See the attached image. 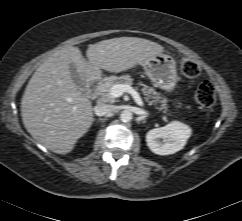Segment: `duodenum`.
Masks as SVG:
<instances>
[{
	"label": "duodenum",
	"mask_w": 242,
	"mask_h": 221,
	"mask_svg": "<svg viewBox=\"0 0 242 221\" xmlns=\"http://www.w3.org/2000/svg\"><path fill=\"white\" fill-rule=\"evenodd\" d=\"M100 79H101V77H94L89 82V86H88V97L89 98L93 99L97 96Z\"/></svg>",
	"instance_id": "duodenum-1"
}]
</instances>
